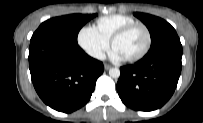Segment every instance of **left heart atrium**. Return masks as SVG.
<instances>
[{
    "instance_id": "left-heart-atrium-1",
    "label": "left heart atrium",
    "mask_w": 203,
    "mask_h": 123,
    "mask_svg": "<svg viewBox=\"0 0 203 123\" xmlns=\"http://www.w3.org/2000/svg\"><path fill=\"white\" fill-rule=\"evenodd\" d=\"M110 57L115 60V61H121L124 60L125 58L117 51L115 48L112 49L110 53Z\"/></svg>"
}]
</instances>
